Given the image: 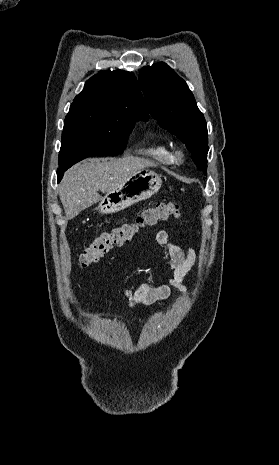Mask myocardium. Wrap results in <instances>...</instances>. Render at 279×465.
I'll use <instances>...</instances> for the list:
<instances>
[{
    "mask_svg": "<svg viewBox=\"0 0 279 465\" xmlns=\"http://www.w3.org/2000/svg\"><path fill=\"white\" fill-rule=\"evenodd\" d=\"M182 155H183V152H182L181 149H177V150L175 151V156H176V157H181Z\"/></svg>",
    "mask_w": 279,
    "mask_h": 465,
    "instance_id": "obj_1",
    "label": "myocardium"
}]
</instances>
